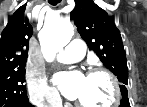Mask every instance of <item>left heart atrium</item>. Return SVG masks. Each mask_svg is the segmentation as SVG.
<instances>
[{
  "instance_id": "1",
  "label": "left heart atrium",
  "mask_w": 147,
  "mask_h": 107,
  "mask_svg": "<svg viewBox=\"0 0 147 107\" xmlns=\"http://www.w3.org/2000/svg\"><path fill=\"white\" fill-rule=\"evenodd\" d=\"M85 79L86 77L82 73L73 72L55 76L54 82L66 98L75 100L83 91Z\"/></svg>"
}]
</instances>
